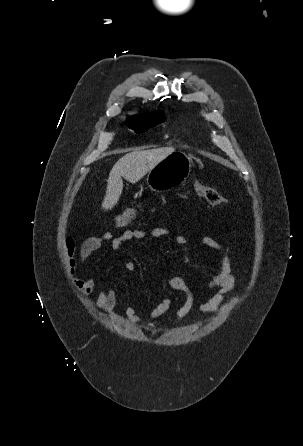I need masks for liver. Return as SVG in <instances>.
<instances>
[{"mask_svg": "<svg viewBox=\"0 0 303 446\" xmlns=\"http://www.w3.org/2000/svg\"><path fill=\"white\" fill-rule=\"evenodd\" d=\"M173 152H175L174 148L167 147L132 151L121 157L109 173L102 208L111 210L117 204L123 190L122 177L130 183H136L154 166Z\"/></svg>", "mask_w": 303, "mask_h": 446, "instance_id": "liver-1", "label": "liver"}]
</instances>
